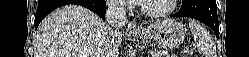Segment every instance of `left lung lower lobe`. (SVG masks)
<instances>
[{
    "label": "left lung lower lobe",
    "mask_w": 249,
    "mask_h": 57,
    "mask_svg": "<svg viewBox=\"0 0 249 57\" xmlns=\"http://www.w3.org/2000/svg\"><path fill=\"white\" fill-rule=\"evenodd\" d=\"M172 17H190L197 19L213 29L219 37V22L215 0H182L181 9Z\"/></svg>",
    "instance_id": "1"
}]
</instances>
